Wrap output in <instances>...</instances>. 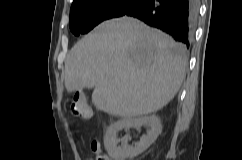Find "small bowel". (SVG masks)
I'll use <instances>...</instances> for the list:
<instances>
[{
  "instance_id": "obj_1",
  "label": "small bowel",
  "mask_w": 242,
  "mask_h": 160,
  "mask_svg": "<svg viewBox=\"0 0 242 160\" xmlns=\"http://www.w3.org/2000/svg\"><path fill=\"white\" fill-rule=\"evenodd\" d=\"M94 151H96L99 155L103 156V160H111L107 155L103 154L102 149L99 145L94 144L93 145Z\"/></svg>"
}]
</instances>
